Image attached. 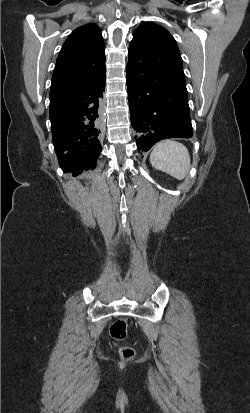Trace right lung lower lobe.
Returning <instances> with one entry per match:
<instances>
[{"mask_svg": "<svg viewBox=\"0 0 250 413\" xmlns=\"http://www.w3.org/2000/svg\"><path fill=\"white\" fill-rule=\"evenodd\" d=\"M106 70L89 82L51 90L52 138L61 169L74 176L94 169L102 147L101 99Z\"/></svg>", "mask_w": 250, "mask_h": 413, "instance_id": "98d812e1", "label": "right lung lower lobe"}]
</instances>
